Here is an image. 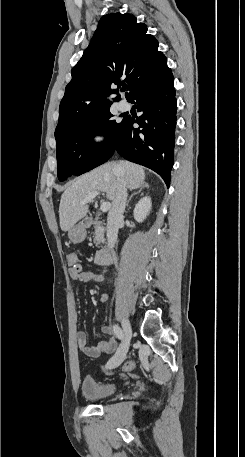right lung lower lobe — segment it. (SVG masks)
I'll return each mask as SVG.
<instances>
[{
    "label": "right lung lower lobe",
    "instance_id": "right-lung-lower-lobe-1",
    "mask_svg": "<svg viewBox=\"0 0 245 457\" xmlns=\"http://www.w3.org/2000/svg\"><path fill=\"white\" fill-rule=\"evenodd\" d=\"M171 69L166 68L138 85L130 98L136 100L138 112L134 119L122 120L120 136L115 146L125 159L157 172L169 187L173 166L177 99ZM139 128H133V124Z\"/></svg>",
    "mask_w": 245,
    "mask_h": 457
}]
</instances>
